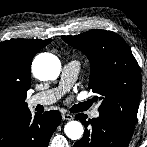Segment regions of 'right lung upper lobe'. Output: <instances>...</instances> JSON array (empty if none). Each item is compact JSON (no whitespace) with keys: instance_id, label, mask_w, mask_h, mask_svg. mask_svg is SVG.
Instances as JSON below:
<instances>
[{"instance_id":"obj_1","label":"right lung upper lobe","mask_w":147,"mask_h":147,"mask_svg":"<svg viewBox=\"0 0 147 147\" xmlns=\"http://www.w3.org/2000/svg\"><path fill=\"white\" fill-rule=\"evenodd\" d=\"M50 42L51 39H11L0 43V88L10 94L8 102L0 103V125L28 110L25 99L31 83V62Z\"/></svg>"}]
</instances>
